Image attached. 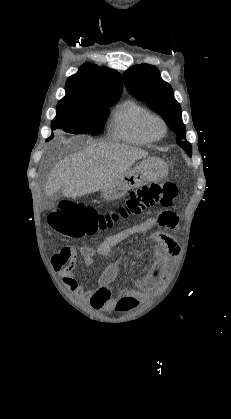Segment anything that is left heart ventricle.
Returning <instances> with one entry per match:
<instances>
[{"label": "left heart ventricle", "instance_id": "obj_1", "mask_svg": "<svg viewBox=\"0 0 231 419\" xmlns=\"http://www.w3.org/2000/svg\"><path fill=\"white\" fill-rule=\"evenodd\" d=\"M150 129L156 135L160 134L161 131H162L161 124L158 121H155V120L151 122Z\"/></svg>", "mask_w": 231, "mask_h": 419}]
</instances>
